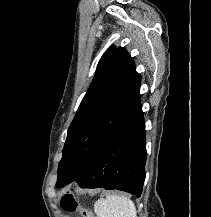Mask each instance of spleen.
<instances>
[{"label": "spleen", "mask_w": 211, "mask_h": 217, "mask_svg": "<svg viewBox=\"0 0 211 217\" xmlns=\"http://www.w3.org/2000/svg\"><path fill=\"white\" fill-rule=\"evenodd\" d=\"M97 217H137L135 204L126 196L108 195L94 205Z\"/></svg>", "instance_id": "obj_1"}]
</instances>
